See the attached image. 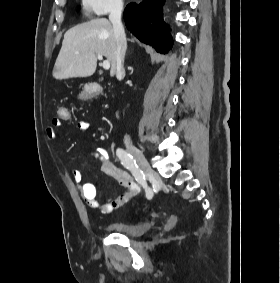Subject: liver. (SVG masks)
<instances>
[{
  "instance_id": "liver-1",
  "label": "liver",
  "mask_w": 280,
  "mask_h": 283,
  "mask_svg": "<svg viewBox=\"0 0 280 283\" xmlns=\"http://www.w3.org/2000/svg\"><path fill=\"white\" fill-rule=\"evenodd\" d=\"M98 53L111 63L110 76L113 77L116 73L117 41L113 25L106 18L82 23L64 34L53 77L62 80L93 75Z\"/></svg>"
}]
</instances>
